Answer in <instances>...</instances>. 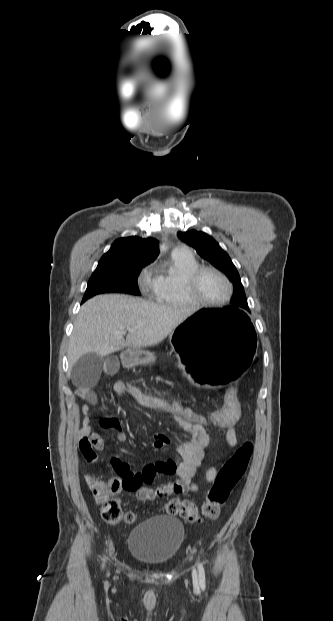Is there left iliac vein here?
<instances>
[{
	"mask_svg": "<svg viewBox=\"0 0 333 621\" xmlns=\"http://www.w3.org/2000/svg\"><path fill=\"white\" fill-rule=\"evenodd\" d=\"M193 581H194V583L198 582L197 573L195 571L193 572Z\"/></svg>",
	"mask_w": 333,
	"mask_h": 621,
	"instance_id": "left-iliac-vein-1",
	"label": "left iliac vein"
}]
</instances>
